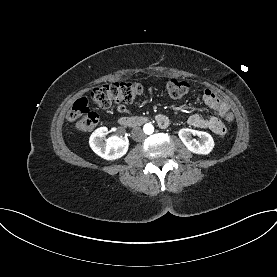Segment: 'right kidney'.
<instances>
[{"label":"right kidney","instance_id":"right-kidney-1","mask_svg":"<svg viewBox=\"0 0 277 277\" xmlns=\"http://www.w3.org/2000/svg\"><path fill=\"white\" fill-rule=\"evenodd\" d=\"M107 132V127H100L91 134L89 139L91 149L98 156L106 160H115L121 158L128 151V138L112 136L106 139L105 135Z\"/></svg>","mask_w":277,"mask_h":277}]
</instances>
